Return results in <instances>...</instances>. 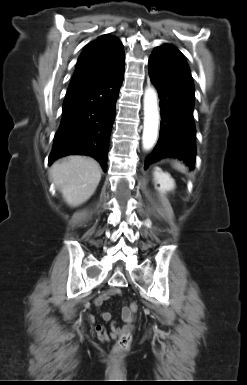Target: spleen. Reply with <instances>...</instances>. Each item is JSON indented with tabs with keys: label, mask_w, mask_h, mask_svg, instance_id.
Returning <instances> with one entry per match:
<instances>
[{
	"label": "spleen",
	"mask_w": 247,
	"mask_h": 385,
	"mask_svg": "<svg viewBox=\"0 0 247 385\" xmlns=\"http://www.w3.org/2000/svg\"><path fill=\"white\" fill-rule=\"evenodd\" d=\"M175 168H177V169L180 170L181 172H186V171H187L186 167H185L184 165L180 164V163H177V164L175 165Z\"/></svg>",
	"instance_id": "spleen-1"
}]
</instances>
